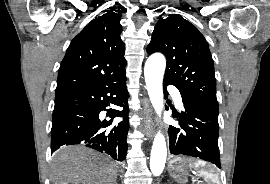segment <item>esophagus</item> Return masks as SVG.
<instances>
[{
	"mask_svg": "<svg viewBox=\"0 0 270 184\" xmlns=\"http://www.w3.org/2000/svg\"><path fill=\"white\" fill-rule=\"evenodd\" d=\"M143 131L149 139L154 135V122L152 117V108L148 100L143 103Z\"/></svg>",
	"mask_w": 270,
	"mask_h": 184,
	"instance_id": "1",
	"label": "esophagus"
}]
</instances>
